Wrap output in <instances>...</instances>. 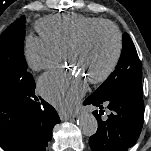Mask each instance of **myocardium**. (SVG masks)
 Segmentation results:
<instances>
[{
    "mask_svg": "<svg viewBox=\"0 0 151 151\" xmlns=\"http://www.w3.org/2000/svg\"><path fill=\"white\" fill-rule=\"evenodd\" d=\"M102 28H108L112 31L115 39V52L108 67L100 75L95 76L89 80L93 84L101 83L107 80L118 65V62L122 54V36L118 27L110 21H102V22L95 23L89 26L88 28H86L78 37L72 40L64 49V58L68 60L69 54L71 52L82 47L87 42L89 36L93 32Z\"/></svg>",
    "mask_w": 151,
    "mask_h": 151,
    "instance_id": "f54148a6",
    "label": "myocardium"
}]
</instances>
